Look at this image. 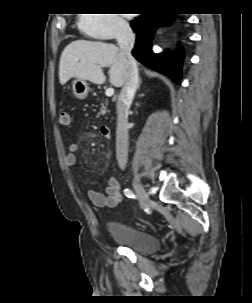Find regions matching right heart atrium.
Instances as JSON below:
<instances>
[{
    "mask_svg": "<svg viewBox=\"0 0 252 303\" xmlns=\"http://www.w3.org/2000/svg\"><path fill=\"white\" fill-rule=\"evenodd\" d=\"M78 25L90 37L98 40L122 37L130 30L119 14H81Z\"/></svg>",
    "mask_w": 252,
    "mask_h": 303,
    "instance_id": "obj_1",
    "label": "right heart atrium"
}]
</instances>
